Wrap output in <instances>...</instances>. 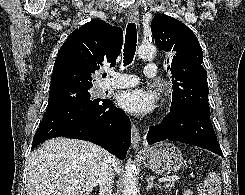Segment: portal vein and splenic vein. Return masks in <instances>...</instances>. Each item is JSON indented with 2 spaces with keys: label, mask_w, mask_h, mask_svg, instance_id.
<instances>
[{
  "label": "portal vein and splenic vein",
  "mask_w": 245,
  "mask_h": 195,
  "mask_svg": "<svg viewBox=\"0 0 245 195\" xmlns=\"http://www.w3.org/2000/svg\"><path fill=\"white\" fill-rule=\"evenodd\" d=\"M179 179H180L179 177L174 176V177L159 179V182H174V181L179 180Z\"/></svg>",
  "instance_id": "18ae733b"
}]
</instances>
